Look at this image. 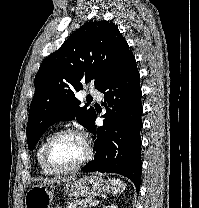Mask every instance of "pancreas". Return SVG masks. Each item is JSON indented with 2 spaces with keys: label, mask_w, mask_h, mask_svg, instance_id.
<instances>
[{
  "label": "pancreas",
  "mask_w": 199,
  "mask_h": 208,
  "mask_svg": "<svg viewBox=\"0 0 199 208\" xmlns=\"http://www.w3.org/2000/svg\"><path fill=\"white\" fill-rule=\"evenodd\" d=\"M91 204V199L84 200H73L71 202H67V208H86Z\"/></svg>",
  "instance_id": "cf45deb5"
}]
</instances>
